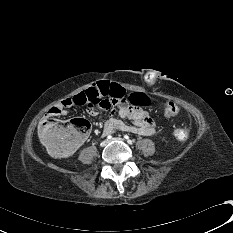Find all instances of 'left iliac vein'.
<instances>
[{
    "instance_id": "4c4485c4",
    "label": "left iliac vein",
    "mask_w": 233,
    "mask_h": 233,
    "mask_svg": "<svg viewBox=\"0 0 233 233\" xmlns=\"http://www.w3.org/2000/svg\"><path fill=\"white\" fill-rule=\"evenodd\" d=\"M113 140H120V141H122L123 139L122 138H112L111 141H113Z\"/></svg>"
}]
</instances>
